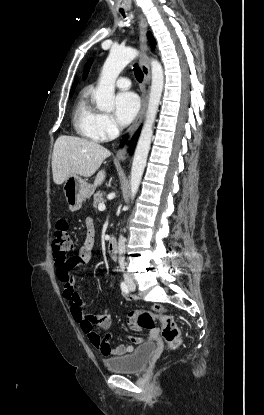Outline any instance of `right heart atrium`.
I'll use <instances>...</instances> for the list:
<instances>
[{
  "label": "right heart atrium",
  "mask_w": 264,
  "mask_h": 415,
  "mask_svg": "<svg viewBox=\"0 0 264 415\" xmlns=\"http://www.w3.org/2000/svg\"><path fill=\"white\" fill-rule=\"evenodd\" d=\"M100 125L105 138H111L119 131L117 123L113 117L108 114H101Z\"/></svg>",
  "instance_id": "1"
}]
</instances>
